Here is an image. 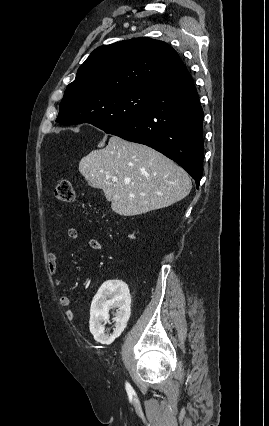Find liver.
<instances>
[{
	"mask_svg": "<svg viewBox=\"0 0 269 426\" xmlns=\"http://www.w3.org/2000/svg\"><path fill=\"white\" fill-rule=\"evenodd\" d=\"M79 171L91 187L104 191L112 210L122 216L168 207L192 188L187 172L172 160L118 136L110 137L105 148L83 157Z\"/></svg>",
	"mask_w": 269,
	"mask_h": 426,
	"instance_id": "6515ba94",
	"label": "liver"
}]
</instances>
